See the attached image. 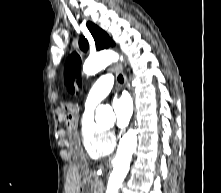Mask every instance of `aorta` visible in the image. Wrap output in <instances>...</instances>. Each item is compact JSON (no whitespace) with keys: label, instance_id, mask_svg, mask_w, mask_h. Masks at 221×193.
I'll return each instance as SVG.
<instances>
[{"label":"aorta","instance_id":"obj_1","mask_svg":"<svg viewBox=\"0 0 221 193\" xmlns=\"http://www.w3.org/2000/svg\"><path fill=\"white\" fill-rule=\"evenodd\" d=\"M123 60L118 53L114 51H102L89 56L83 65V72L87 76H92L105 69L113 62ZM111 107L99 105L96 108V120L112 115ZM137 132L134 129L128 130L121 138L116 156L113 160V171L109 177L106 193H118L126 175L128 174L133 154L137 148Z\"/></svg>","mask_w":221,"mask_h":193}]
</instances>
